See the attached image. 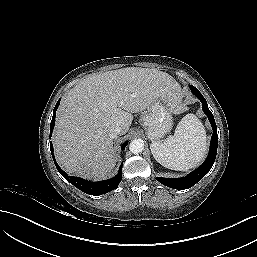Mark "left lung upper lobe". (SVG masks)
<instances>
[{
    "mask_svg": "<svg viewBox=\"0 0 257 257\" xmlns=\"http://www.w3.org/2000/svg\"><path fill=\"white\" fill-rule=\"evenodd\" d=\"M190 89H195V87H194V86H192V85H190Z\"/></svg>",
    "mask_w": 257,
    "mask_h": 257,
    "instance_id": "1",
    "label": "left lung upper lobe"
}]
</instances>
